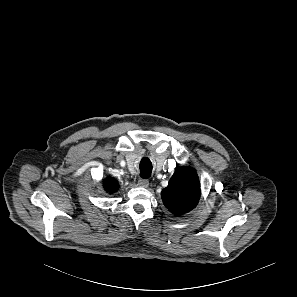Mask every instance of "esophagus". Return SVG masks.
Listing matches in <instances>:
<instances>
[{
    "label": "esophagus",
    "mask_w": 297,
    "mask_h": 297,
    "mask_svg": "<svg viewBox=\"0 0 297 297\" xmlns=\"http://www.w3.org/2000/svg\"><path fill=\"white\" fill-rule=\"evenodd\" d=\"M138 185H139L140 187L147 188V187L149 186V180H148V179H143V178H141V179H139V181H138Z\"/></svg>",
    "instance_id": "34e87169"
}]
</instances>
